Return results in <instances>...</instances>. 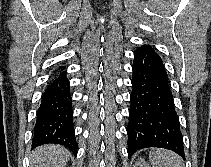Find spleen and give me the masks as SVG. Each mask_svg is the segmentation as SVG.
<instances>
[{
	"label": "spleen",
	"instance_id": "3e777b00",
	"mask_svg": "<svg viewBox=\"0 0 211 167\" xmlns=\"http://www.w3.org/2000/svg\"><path fill=\"white\" fill-rule=\"evenodd\" d=\"M152 167H183L182 158L176 153L164 149H152L149 153Z\"/></svg>",
	"mask_w": 211,
	"mask_h": 167
}]
</instances>
